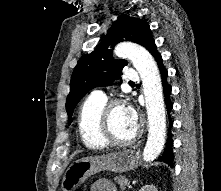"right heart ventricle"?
Here are the masks:
<instances>
[{"mask_svg": "<svg viewBox=\"0 0 221 191\" xmlns=\"http://www.w3.org/2000/svg\"><path fill=\"white\" fill-rule=\"evenodd\" d=\"M106 99L90 95L81 104L78 114V130L83 144L94 150H100L109 145L101 138V113Z\"/></svg>", "mask_w": 221, "mask_h": 191, "instance_id": "1", "label": "right heart ventricle"}]
</instances>
